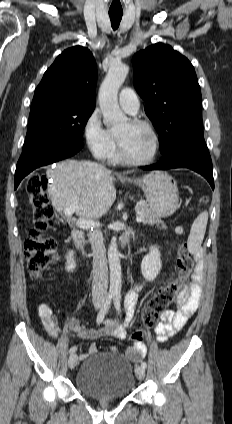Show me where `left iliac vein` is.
<instances>
[{
	"label": "left iliac vein",
	"instance_id": "4c4485c4",
	"mask_svg": "<svg viewBox=\"0 0 232 424\" xmlns=\"http://www.w3.org/2000/svg\"><path fill=\"white\" fill-rule=\"evenodd\" d=\"M136 377L139 380H143L145 377V369L142 366H136L135 368Z\"/></svg>",
	"mask_w": 232,
	"mask_h": 424
}]
</instances>
